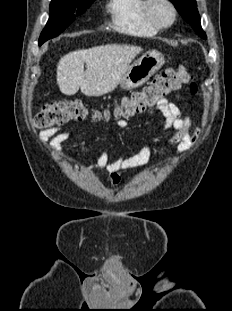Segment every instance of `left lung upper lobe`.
<instances>
[{
  "mask_svg": "<svg viewBox=\"0 0 232 311\" xmlns=\"http://www.w3.org/2000/svg\"><path fill=\"white\" fill-rule=\"evenodd\" d=\"M178 12L181 14L184 20H186L196 33L206 39V34L202 30L199 12L197 9V4L195 0H170Z\"/></svg>",
  "mask_w": 232,
  "mask_h": 311,
  "instance_id": "5c2ea615",
  "label": "left lung upper lobe"
}]
</instances>
